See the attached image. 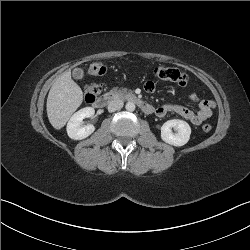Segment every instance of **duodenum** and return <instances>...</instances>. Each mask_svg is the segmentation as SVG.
<instances>
[{
  "label": "duodenum",
  "instance_id": "obj_1",
  "mask_svg": "<svg viewBox=\"0 0 250 250\" xmlns=\"http://www.w3.org/2000/svg\"><path fill=\"white\" fill-rule=\"evenodd\" d=\"M117 98H124L134 104H136L144 113L146 114H152L154 112V108L148 104L146 101H144L142 98L137 96L136 94L126 92V93H112L107 92L101 96H99L94 101V107L96 108H104L107 106L111 101L117 99Z\"/></svg>",
  "mask_w": 250,
  "mask_h": 250
}]
</instances>
